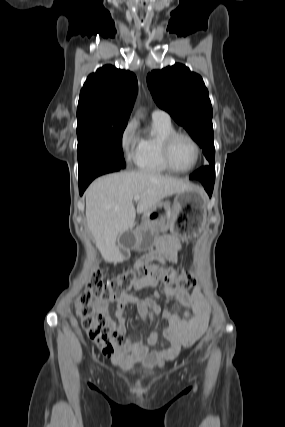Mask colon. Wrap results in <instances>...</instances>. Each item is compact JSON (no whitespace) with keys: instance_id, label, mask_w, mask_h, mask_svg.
<instances>
[{"instance_id":"colon-1","label":"colon","mask_w":285,"mask_h":427,"mask_svg":"<svg viewBox=\"0 0 285 427\" xmlns=\"http://www.w3.org/2000/svg\"><path fill=\"white\" fill-rule=\"evenodd\" d=\"M140 271L148 277L162 274L168 285L175 284L186 291L196 285V276L192 269L182 272L177 269L160 268L158 264L143 262L140 265ZM136 277L137 271L129 269L108 281H104L102 273L94 269L84 291L77 298L76 307L81 326L103 348L104 352H111L114 346L121 342V337L107 326L106 320L97 313L95 302L107 303L117 298L131 288Z\"/></svg>"}]
</instances>
